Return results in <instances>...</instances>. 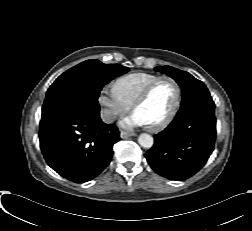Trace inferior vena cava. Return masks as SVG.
Wrapping results in <instances>:
<instances>
[{
  "label": "inferior vena cava",
  "mask_w": 252,
  "mask_h": 231,
  "mask_svg": "<svg viewBox=\"0 0 252 231\" xmlns=\"http://www.w3.org/2000/svg\"><path fill=\"white\" fill-rule=\"evenodd\" d=\"M101 119L105 123H112L115 120V114L108 109H104L101 111Z\"/></svg>",
  "instance_id": "obj_1"
}]
</instances>
